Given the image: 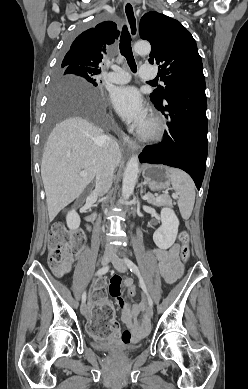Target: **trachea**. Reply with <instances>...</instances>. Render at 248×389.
<instances>
[{"label": "trachea", "mask_w": 248, "mask_h": 389, "mask_svg": "<svg viewBox=\"0 0 248 389\" xmlns=\"http://www.w3.org/2000/svg\"><path fill=\"white\" fill-rule=\"evenodd\" d=\"M119 49L121 55L126 58L131 71L136 73L137 66L131 48V36L126 25L122 29ZM150 83L155 84L156 82L150 81Z\"/></svg>", "instance_id": "trachea-1"}]
</instances>
